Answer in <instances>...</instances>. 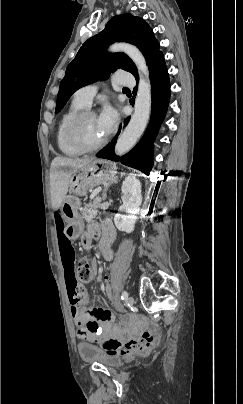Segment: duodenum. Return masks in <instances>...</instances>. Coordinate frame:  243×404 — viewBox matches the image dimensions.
<instances>
[{"label":"duodenum","mask_w":243,"mask_h":404,"mask_svg":"<svg viewBox=\"0 0 243 404\" xmlns=\"http://www.w3.org/2000/svg\"><path fill=\"white\" fill-rule=\"evenodd\" d=\"M94 235H95V237H97V236H98V233L96 232Z\"/></svg>","instance_id":"duodenum-1"}]
</instances>
